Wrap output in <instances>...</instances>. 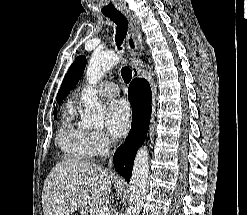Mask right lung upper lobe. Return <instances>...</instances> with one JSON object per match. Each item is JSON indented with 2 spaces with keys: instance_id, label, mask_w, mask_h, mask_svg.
<instances>
[{
  "instance_id": "right-lung-upper-lobe-1",
  "label": "right lung upper lobe",
  "mask_w": 247,
  "mask_h": 215,
  "mask_svg": "<svg viewBox=\"0 0 247 215\" xmlns=\"http://www.w3.org/2000/svg\"><path fill=\"white\" fill-rule=\"evenodd\" d=\"M54 114H56V108L54 109Z\"/></svg>"
}]
</instances>
